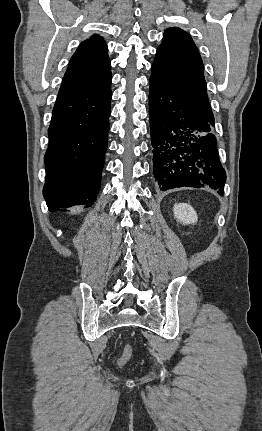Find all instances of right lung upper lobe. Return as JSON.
<instances>
[{"instance_id": "obj_1", "label": "right lung upper lobe", "mask_w": 262, "mask_h": 431, "mask_svg": "<svg viewBox=\"0 0 262 431\" xmlns=\"http://www.w3.org/2000/svg\"><path fill=\"white\" fill-rule=\"evenodd\" d=\"M111 80L106 43L94 35L82 42L72 56L59 94L100 93L110 88Z\"/></svg>"}]
</instances>
